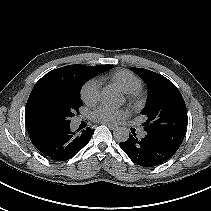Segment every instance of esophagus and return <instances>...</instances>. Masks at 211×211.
<instances>
[{"label":"esophagus","instance_id":"obj_1","mask_svg":"<svg viewBox=\"0 0 211 211\" xmlns=\"http://www.w3.org/2000/svg\"><path fill=\"white\" fill-rule=\"evenodd\" d=\"M102 124H104V125L108 126V127H109L110 129H112V130H114V129H116V128H117V125L112 124V123H107V122H104V123H102Z\"/></svg>","mask_w":211,"mask_h":211}]
</instances>
